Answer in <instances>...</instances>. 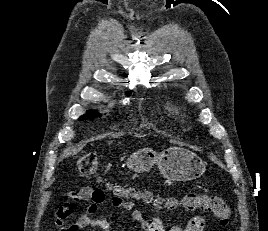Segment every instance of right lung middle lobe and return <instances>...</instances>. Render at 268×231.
Segmentation results:
<instances>
[{
  "instance_id": "right-lung-middle-lobe-1",
  "label": "right lung middle lobe",
  "mask_w": 268,
  "mask_h": 231,
  "mask_svg": "<svg viewBox=\"0 0 268 231\" xmlns=\"http://www.w3.org/2000/svg\"><path fill=\"white\" fill-rule=\"evenodd\" d=\"M96 117H101V114H97V112L89 111L85 115L80 117V120L94 119Z\"/></svg>"
}]
</instances>
